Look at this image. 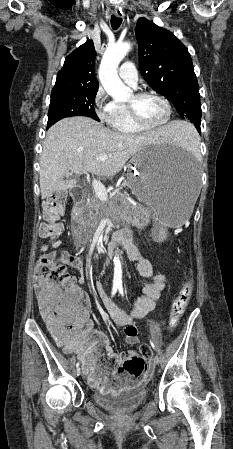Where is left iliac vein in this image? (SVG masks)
<instances>
[{"mask_svg": "<svg viewBox=\"0 0 233 449\" xmlns=\"http://www.w3.org/2000/svg\"><path fill=\"white\" fill-rule=\"evenodd\" d=\"M153 361H154V364H159V362H160L159 356L155 355L153 358Z\"/></svg>", "mask_w": 233, "mask_h": 449, "instance_id": "4c4485c4", "label": "left iliac vein"}]
</instances>
